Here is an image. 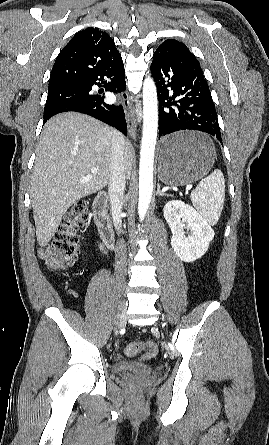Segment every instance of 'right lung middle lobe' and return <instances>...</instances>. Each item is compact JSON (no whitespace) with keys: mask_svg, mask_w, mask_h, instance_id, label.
<instances>
[{"mask_svg":"<svg viewBox=\"0 0 269 445\" xmlns=\"http://www.w3.org/2000/svg\"><path fill=\"white\" fill-rule=\"evenodd\" d=\"M83 84L64 85L48 89L47 101L44 108V116L49 114L57 105L69 101L73 96L83 92Z\"/></svg>","mask_w":269,"mask_h":445,"instance_id":"1","label":"right lung middle lobe"}]
</instances>
